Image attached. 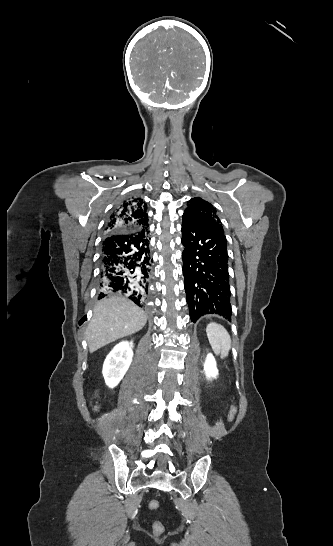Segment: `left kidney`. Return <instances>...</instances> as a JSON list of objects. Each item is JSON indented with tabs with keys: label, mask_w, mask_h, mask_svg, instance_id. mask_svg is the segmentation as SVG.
Listing matches in <instances>:
<instances>
[{
	"label": "left kidney",
	"mask_w": 333,
	"mask_h": 546,
	"mask_svg": "<svg viewBox=\"0 0 333 546\" xmlns=\"http://www.w3.org/2000/svg\"><path fill=\"white\" fill-rule=\"evenodd\" d=\"M204 371L207 379L216 378L218 375V369L216 360L213 354L208 353L204 363Z\"/></svg>",
	"instance_id": "left-kidney-1"
}]
</instances>
